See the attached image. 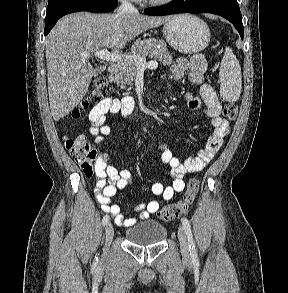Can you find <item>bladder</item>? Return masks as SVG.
<instances>
[{
    "mask_svg": "<svg viewBox=\"0 0 288 293\" xmlns=\"http://www.w3.org/2000/svg\"><path fill=\"white\" fill-rule=\"evenodd\" d=\"M167 236V229L155 220H147L129 227L126 239L137 245H152L162 242Z\"/></svg>",
    "mask_w": 288,
    "mask_h": 293,
    "instance_id": "1",
    "label": "bladder"
}]
</instances>
